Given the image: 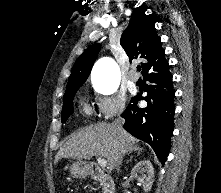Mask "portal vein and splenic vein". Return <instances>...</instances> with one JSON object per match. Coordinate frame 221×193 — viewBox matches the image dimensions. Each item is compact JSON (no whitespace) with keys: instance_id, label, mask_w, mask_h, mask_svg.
I'll return each instance as SVG.
<instances>
[{"instance_id":"portal-vein-and-splenic-vein-1","label":"portal vein and splenic vein","mask_w":221,"mask_h":193,"mask_svg":"<svg viewBox=\"0 0 221 193\" xmlns=\"http://www.w3.org/2000/svg\"><path fill=\"white\" fill-rule=\"evenodd\" d=\"M97 161H98V164L101 166V167H106L107 166V161L105 159H102V158H97Z\"/></svg>"}]
</instances>
